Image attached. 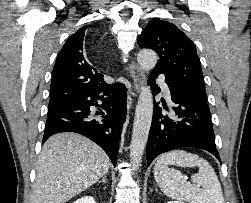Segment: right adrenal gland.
<instances>
[{
  "label": "right adrenal gland",
  "mask_w": 251,
  "mask_h": 203,
  "mask_svg": "<svg viewBox=\"0 0 251 203\" xmlns=\"http://www.w3.org/2000/svg\"><path fill=\"white\" fill-rule=\"evenodd\" d=\"M100 182L106 183V176H104Z\"/></svg>",
  "instance_id": "2a0ac1e0"
}]
</instances>
